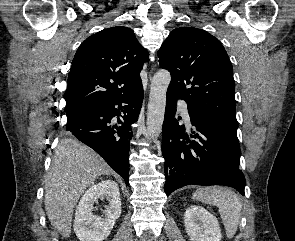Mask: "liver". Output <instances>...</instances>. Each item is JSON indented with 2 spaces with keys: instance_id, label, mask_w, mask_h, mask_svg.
Here are the masks:
<instances>
[{
  "instance_id": "obj_1",
  "label": "liver",
  "mask_w": 295,
  "mask_h": 241,
  "mask_svg": "<svg viewBox=\"0 0 295 241\" xmlns=\"http://www.w3.org/2000/svg\"><path fill=\"white\" fill-rule=\"evenodd\" d=\"M109 165L91 148L74 139L62 140L55 150L45 180V210L52 226L69 237L74 208L98 176L110 174Z\"/></svg>"
}]
</instances>
